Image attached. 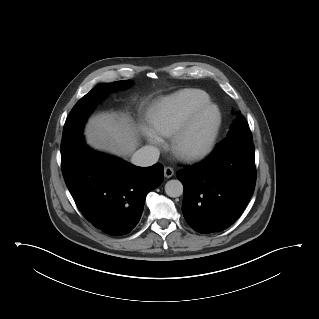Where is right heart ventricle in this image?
Returning a JSON list of instances; mask_svg holds the SVG:
<instances>
[{
	"instance_id": "1",
	"label": "right heart ventricle",
	"mask_w": 319,
	"mask_h": 319,
	"mask_svg": "<svg viewBox=\"0 0 319 319\" xmlns=\"http://www.w3.org/2000/svg\"><path fill=\"white\" fill-rule=\"evenodd\" d=\"M209 101V95L203 90L182 89L158 99L148 113V121L159 135L171 137L196 108Z\"/></svg>"
}]
</instances>
